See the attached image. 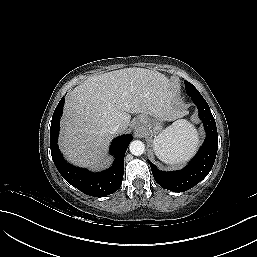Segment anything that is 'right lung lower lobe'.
Masks as SVG:
<instances>
[{"label": "right lung lower lobe", "instance_id": "98d812e1", "mask_svg": "<svg viewBox=\"0 0 257 257\" xmlns=\"http://www.w3.org/2000/svg\"><path fill=\"white\" fill-rule=\"evenodd\" d=\"M64 100L63 97L58 103L50 127L51 155L57 170L69 184L84 194L104 197L114 193L121 186L124 173V155L133 137L130 134L122 135L112 141L110 153L114 155L115 160L112 166L103 172L91 173L86 169L68 164L62 157L57 144Z\"/></svg>", "mask_w": 257, "mask_h": 257}]
</instances>
